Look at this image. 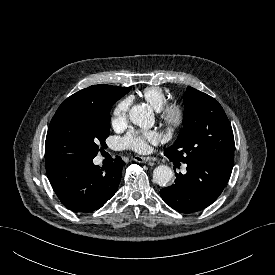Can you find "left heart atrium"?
<instances>
[{"label": "left heart atrium", "instance_id": "obj_1", "mask_svg": "<svg viewBox=\"0 0 275 275\" xmlns=\"http://www.w3.org/2000/svg\"><path fill=\"white\" fill-rule=\"evenodd\" d=\"M159 134L156 131H132L123 139V144L136 152H144L148 148V143H157Z\"/></svg>", "mask_w": 275, "mask_h": 275}]
</instances>
